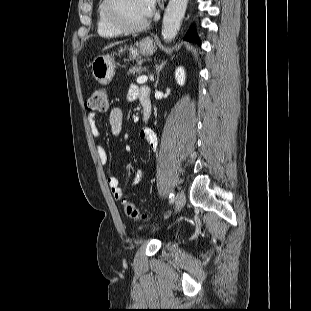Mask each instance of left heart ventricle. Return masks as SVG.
I'll return each instance as SVG.
<instances>
[{
  "mask_svg": "<svg viewBox=\"0 0 311 311\" xmlns=\"http://www.w3.org/2000/svg\"><path fill=\"white\" fill-rule=\"evenodd\" d=\"M117 12L121 20L130 26L140 25L149 18L143 0H120Z\"/></svg>",
  "mask_w": 311,
  "mask_h": 311,
  "instance_id": "1",
  "label": "left heart ventricle"
}]
</instances>
